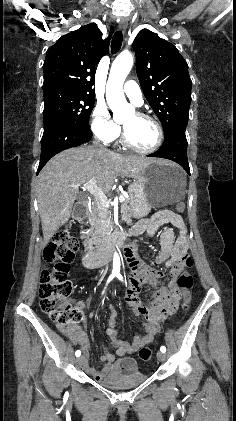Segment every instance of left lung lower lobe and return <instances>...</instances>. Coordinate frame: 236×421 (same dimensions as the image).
I'll return each instance as SVG.
<instances>
[{"mask_svg": "<svg viewBox=\"0 0 236 421\" xmlns=\"http://www.w3.org/2000/svg\"><path fill=\"white\" fill-rule=\"evenodd\" d=\"M186 126L180 125L173 128L164 135V143L161 148L148 156L166 158L180 164L190 175V168L187 159V139L185 135Z\"/></svg>", "mask_w": 236, "mask_h": 421, "instance_id": "0a47b994", "label": "left lung lower lobe"}]
</instances>
